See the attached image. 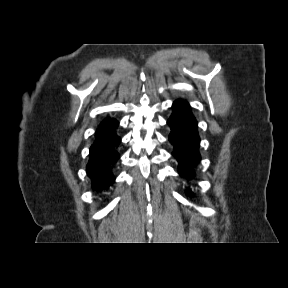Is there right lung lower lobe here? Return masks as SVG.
<instances>
[{"instance_id": "obj_1", "label": "right lung lower lobe", "mask_w": 288, "mask_h": 288, "mask_svg": "<svg viewBox=\"0 0 288 288\" xmlns=\"http://www.w3.org/2000/svg\"><path fill=\"white\" fill-rule=\"evenodd\" d=\"M121 138L115 130L108 137L95 141L90 148L87 175L97 192L106 191L115 180L113 170L119 160L118 146Z\"/></svg>"}]
</instances>
